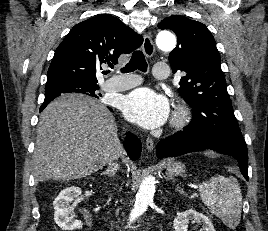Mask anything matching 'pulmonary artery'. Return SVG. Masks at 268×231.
I'll use <instances>...</instances> for the list:
<instances>
[{"label": "pulmonary artery", "instance_id": "obj_1", "mask_svg": "<svg viewBox=\"0 0 268 231\" xmlns=\"http://www.w3.org/2000/svg\"><path fill=\"white\" fill-rule=\"evenodd\" d=\"M169 67L167 63H156L153 69V77L164 81L168 78ZM139 84L138 79L133 75L113 76L104 84L103 89L106 92L115 93L128 90Z\"/></svg>", "mask_w": 268, "mask_h": 231}]
</instances>
